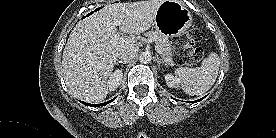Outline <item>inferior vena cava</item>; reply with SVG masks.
Here are the masks:
<instances>
[{
    "instance_id": "obj_1",
    "label": "inferior vena cava",
    "mask_w": 276,
    "mask_h": 138,
    "mask_svg": "<svg viewBox=\"0 0 276 138\" xmlns=\"http://www.w3.org/2000/svg\"><path fill=\"white\" fill-rule=\"evenodd\" d=\"M138 51V47L137 46H132L126 49H122L119 53H118V57L121 58L123 61H130L131 59H133L135 57V55L137 54Z\"/></svg>"
}]
</instances>
